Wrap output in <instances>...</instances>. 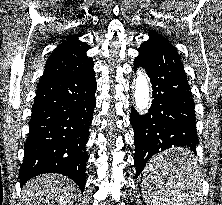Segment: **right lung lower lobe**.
<instances>
[{
    "label": "right lung lower lobe",
    "instance_id": "right-lung-lower-lobe-1",
    "mask_svg": "<svg viewBox=\"0 0 222 205\" xmlns=\"http://www.w3.org/2000/svg\"><path fill=\"white\" fill-rule=\"evenodd\" d=\"M96 88L93 66L39 81L19 171L21 185L43 173H60L84 191L85 145L96 106Z\"/></svg>",
    "mask_w": 222,
    "mask_h": 205
}]
</instances>
